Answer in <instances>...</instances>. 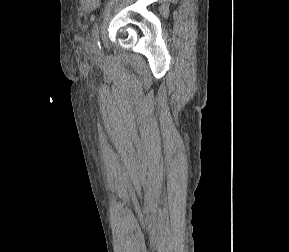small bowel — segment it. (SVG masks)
Returning <instances> with one entry per match:
<instances>
[{"mask_svg": "<svg viewBox=\"0 0 289 252\" xmlns=\"http://www.w3.org/2000/svg\"><path fill=\"white\" fill-rule=\"evenodd\" d=\"M81 7L86 12H93L100 6V0H80Z\"/></svg>", "mask_w": 289, "mask_h": 252, "instance_id": "obj_1", "label": "small bowel"}]
</instances>
